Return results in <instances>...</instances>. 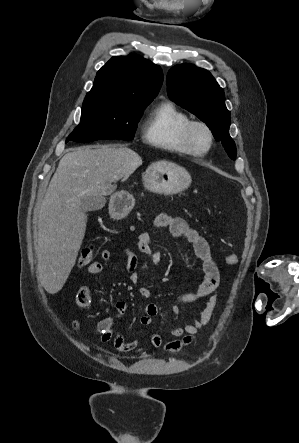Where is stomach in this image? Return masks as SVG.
Returning <instances> with one entry per match:
<instances>
[{
	"instance_id": "0dacf381",
	"label": "stomach",
	"mask_w": 299,
	"mask_h": 443,
	"mask_svg": "<svg viewBox=\"0 0 299 443\" xmlns=\"http://www.w3.org/2000/svg\"><path fill=\"white\" fill-rule=\"evenodd\" d=\"M144 187L154 193L172 195L187 189L191 176L182 167L174 163H155L143 174ZM135 200L125 191L116 192L110 198L109 212L113 218H123L134 206Z\"/></svg>"
}]
</instances>
